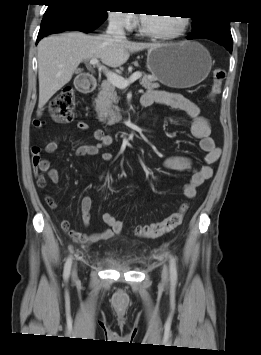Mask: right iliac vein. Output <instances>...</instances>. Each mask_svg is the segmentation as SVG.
I'll return each instance as SVG.
<instances>
[{"label": "right iliac vein", "instance_id": "63e3f726", "mask_svg": "<svg viewBox=\"0 0 261 355\" xmlns=\"http://www.w3.org/2000/svg\"><path fill=\"white\" fill-rule=\"evenodd\" d=\"M72 276H73V279L75 280L77 277L76 267L73 268Z\"/></svg>", "mask_w": 261, "mask_h": 355}]
</instances>
